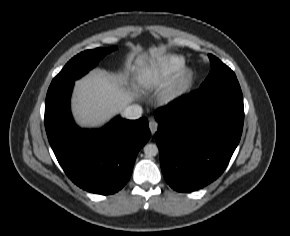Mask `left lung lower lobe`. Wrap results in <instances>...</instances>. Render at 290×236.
<instances>
[{
  "mask_svg": "<svg viewBox=\"0 0 290 236\" xmlns=\"http://www.w3.org/2000/svg\"><path fill=\"white\" fill-rule=\"evenodd\" d=\"M155 139L166 182L198 190L225 170L242 134L243 96L237 79L199 88L155 111Z\"/></svg>",
  "mask_w": 290,
  "mask_h": 236,
  "instance_id": "obj_1",
  "label": "left lung lower lobe"
}]
</instances>
